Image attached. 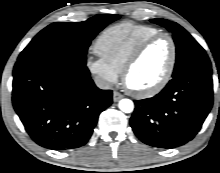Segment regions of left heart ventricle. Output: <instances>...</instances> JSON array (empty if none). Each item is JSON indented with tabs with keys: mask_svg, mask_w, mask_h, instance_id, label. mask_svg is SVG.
<instances>
[{
	"mask_svg": "<svg viewBox=\"0 0 220 173\" xmlns=\"http://www.w3.org/2000/svg\"><path fill=\"white\" fill-rule=\"evenodd\" d=\"M171 58V45L167 38L150 44L131 69L127 84L135 90L154 86L165 74Z\"/></svg>",
	"mask_w": 220,
	"mask_h": 173,
	"instance_id": "1",
	"label": "left heart ventricle"
}]
</instances>
